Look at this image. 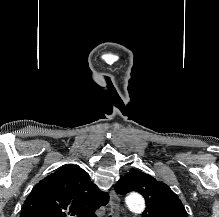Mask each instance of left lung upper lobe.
Here are the masks:
<instances>
[{
    "label": "left lung upper lobe",
    "instance_id": "left-lung-upper-lobe-1",
    "mask_svg": "<svg viewBox=\"0 0 219 217\" xmlns=\"http://www.w3.org/2000/svg\"><path fill=\"white\" fill-rule=\"evenodd\" d=\"M115 191L139 192L146 201L142 217H188L178 196L163 182L138 170H132L116 184Z\"/></svg>",
    "mask_w": 219,
    "mask_h": 217
}]
</instances>
